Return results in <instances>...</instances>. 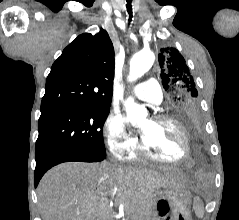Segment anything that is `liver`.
<instances>
[{
  "label": "liver",
  "mask_w": 239,
  "mask_h": 220,
  "mask_svg": "<svg viewBox=\"0 0 239 220\" xmlns=\"http://www.w3.org/2000/svg\"><path fill=\"white\" fill-rule=\"evenodd\" d=\"M183 175L142 168L68 162L49 170L38 185L42 220H113L111 205H124L127 220H148L159 188L186 184Z\"/></svg>",
  "instance_id": "6515ba94"
}]
</instances>
